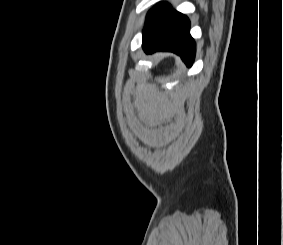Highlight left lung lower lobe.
I'll use <instances>...</instances> for the list:
<instances>
[{
  "instance_id": "1",
  "label": "left lung lower lobe",
  "mask_w": 283,
  "mask_h": 245,
  "mask_svg": "<svg viewBox=\"0 0 283 245\" xmlns=\"http://www.w3.org/2000/svg\"><path fill=\"white\" fill-rule=\"evenodd\" d=\"M190 22L186 16L170 9L146 33L142 47L146 53L158 50L172 51L191 66L195 56V42L189 33Z\"/></svg>"
}]
</instances>
